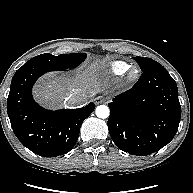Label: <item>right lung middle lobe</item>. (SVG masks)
Here are the masks:
<instances>
[{"label":"right lung middle lobe","mask_w":193,"mask_h":193,"mask_svg":"<svg viewBox=\"0 0 193 193\" xmlns=\"http://www.w3.org/2000/svg\"><path fill=\"white\" fill-rule=\"evenodd\" d=\"M85 58L86 54L83 53L60 54L59 56L46 53L30 59L21 68L43 67L52 70H65L77 67Z\"/></svg>","instance_id":"obj_1"}]
</instances>
